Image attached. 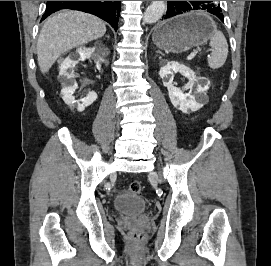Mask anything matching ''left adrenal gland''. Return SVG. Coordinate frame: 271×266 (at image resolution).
Instances as JSON below:
<instances>
[{
	"label": "left adrenal gland",
	"mask_w": 271,
	"mask_h": 266,
	"mask_svg": "<svg viewBox=\"0 0 271 266\" xmlns=\"http://www.w3.org/2000/svg\"><path fill=\"white\" fill-rule=\"evenodd\" d=\"M157 53H160V54H161V52H160V51H157Z\"/></svg>",
	"instance_id": "left-adrenal-gland-1"
}]
</instances>
